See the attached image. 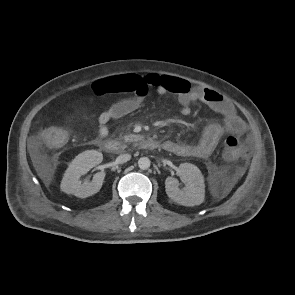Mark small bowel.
<instances>
[{"mask_svg":"<svg viewBox=\"0 0 295 295\" xmlns=\"http://www.w3.org/2000/svg\"><path fill=\"white\" fill-rule=\"evenodd\" d=\"M150 89H154L159 94L172 95L179 103L180 112L184 116L191 113L193 103L202 102L223 117L222 122L209 124L196 143L164 141L162 148L168 152L179 156L206 159L213 153L222 137L225 135L240 136L246 130L244 121L237 114L233 105L216 91L191 86L186 80L165 75H118L97 80L89 86V93L93 96L121 92L132 94L131 97L114 103L98 116V137L104 139L109 135L108 124L111 120L122 118L136 111ZM82 117L84 121H88L86 108L83 109Z\"/></svg>","mask_w":295,"mask_h":295,"instance_id":"1","label":"small bowel"}]
</instances>
